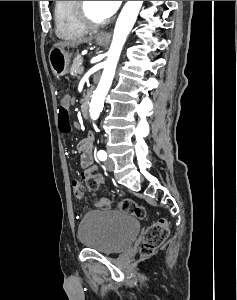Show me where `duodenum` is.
<instances>
[{"mask_svg":"<svg viewBox=\"0 0 237 300\" xmlns=\"http://www.w3.org/2000/svg\"><path fill=\"white\" fill-rule=\"evenodd\" d=\"M88 108H89V100H88V97H85L81 100V103H80V112L83 117L87 116Z\"/></svg>","mask_w":237,"mask_h":300,"instance_id":"duodenum-1","label":"duodenum"}]
</instances>
